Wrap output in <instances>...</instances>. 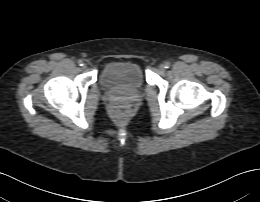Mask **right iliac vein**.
Returning a JSON list of instances; mask_svg holds the SVG:
<instances>
[{
	"instance_id": "obj_1",
	"label": "right iliac vein",
	"mask_w": 260,
	"mask_h": 202,
	"mask_svg": "<svg viewBox=\"0 0 260 202\" xmlns=\"http://www.w3.org/2000/svg\"><path fill=\"white\" fill-rule=\"evenodd\" d=\"M82 68H83V69H86V68H87V65H86V64H83V65H82Z\"/></svg>"
}]
</instances>
